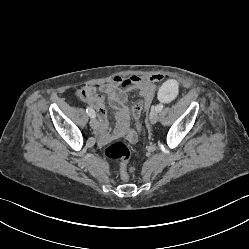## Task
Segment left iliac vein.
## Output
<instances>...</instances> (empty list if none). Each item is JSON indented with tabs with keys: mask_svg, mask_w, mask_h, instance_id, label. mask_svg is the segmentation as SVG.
Masks as SVG:
<instances>
[{
	"mask_svg": "<svg viewBox=\"0 0 249 249\" xmlns=\"http://www.w3.org/2000/svg\"><path fill=\"white\" fill-rule=\"evenodd\" d=\"M159 119L158 112L156 110H153L150 114V123L156 124Z\"/></svg>",
	"mask_w": 249,
	"mask_h": 249,
	"instance_id": "obj_1",
	"label": "left iliac vein"
}]
</instances>
